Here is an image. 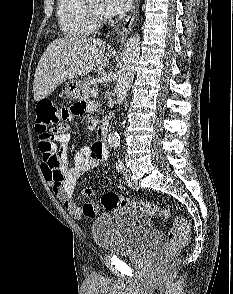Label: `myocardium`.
Masks as SVG:
<instances>
[{"instance_id": "f54148a6", "label": "myocardium", "mask_w": 233, "mask_h": 294, "mask_svg": "<svg viewBox=\"0 0 233 294\" xmlns=\"http://www.w3.org/2000/svg\"><path fill=\"white\" fill-rule=\"evenodd\" d=\"M88 10H89L90 17L92 19V22H93L95 28L101 27L106 21L105 15L101 12L95 11L90 6H88Z\"/></svg>"}]
</instances>
